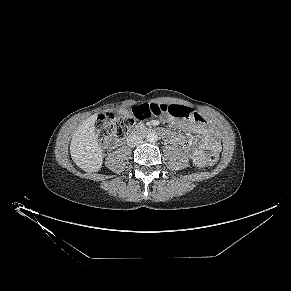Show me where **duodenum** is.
<instances>
[{
	"label": "duodenum",
	"instance_id": "410a0bca",
	"mask_svg": "<svg viewBox=\"0 0 291 291\" xmlns=\"http://www.w3.org/2000/svg\"><path fill=\"white\" fill-rule=\"evenodd\" d=\"M153 130L152 129H147V128H140L136 131L137 134H140V135H144V134H150L152 133Z\"/></svg>",
	"mask_w": 291,
	"mask_h": 291
}]
</instances>
